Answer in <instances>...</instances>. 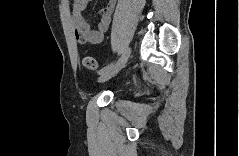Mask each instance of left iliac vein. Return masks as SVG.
<instances>
[{"instance_id": "1", "label": "left iliac vein", "mask_w": 239, "mask_h": 156, "mask_svg": "<svg viewBox=\"0 0 239 156\" xmlns=\"http://www.w3.org/2000/svg\"><path fill=\"white\" fill-rule=\"evenodd\" d=\"M131 54V48H127L121 58L118 60L117 63H115L111 68H109L107 71H105L103 74H101L98 78V82H105L115 76L126 64L128 61V58Z\"/></svg>"}]
</instances>
